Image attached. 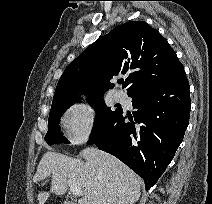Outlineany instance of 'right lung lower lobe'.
<instances>
[{"mask_svg":"<svg viewBox=\"0 0 212 204\" xmlns=\"http://www.w3.org/2000/svg\"><path fill=\"white\" fill-rule=\"evenodd\" d=\"M189 94L184 70L165 82L136 89L128 94L136 109L133 115L121 110L87 144L120 159L144 179L149 190L182 142L189 122Z\"/></svg>","mask_w":212,"mask_h":204,"instance_id":"obj_1","label":"right lung lower lobe"}]
</instances>
